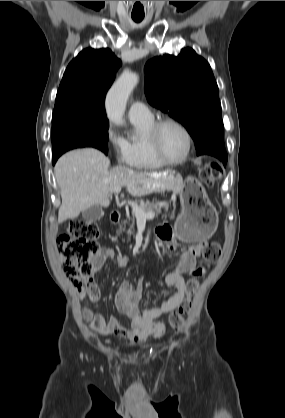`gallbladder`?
Masks as SVG:
<instances>
[{
  "instance_id": "bac80fb5",
  "label": "gallbladder",
  "mask_w": 285,
  "mask_h": 418,
  "mask_svg": "<svg viewBox=\"0 0 285 418\" xmlns=\"http://www.w3.org/2000/svg\"><path fill=\"white\" fill-rule=\"evenodd\" d=\"M103 215L104 212L99 205H92L82 212L83 219L89 222L100 220Z\"/></svg>"
}]
</instances>
